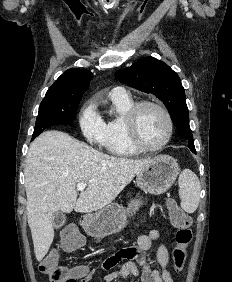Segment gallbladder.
I'll list each match as a JSON object with an SVG mask.
<instances>
[{
    "mask_svg": "<svg viewBox=\"0 0 232 282\" xmlns=\"http://www.w3.org/2000/svg\"><path fill=\"white\" fill-rule=\"evenodd\" d=\"M66 222V216L63 212L57 211L53 214V226L55 228L62 227Z\"/></svg>",
    "mask_w": 232,
    "mask_h": 282,
    "instance_id": "gallbladder-1",
    "label": "gallbladder"
}]
</instances>
